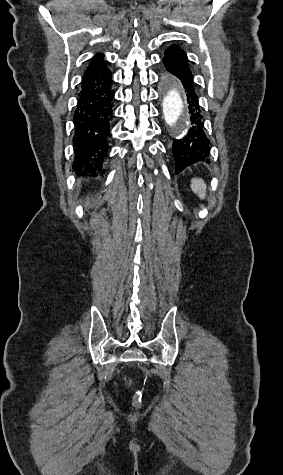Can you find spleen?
<instances>
[{
  "label": "spleen",
  "instance_id": "spleen-1",
  "mask_svg": "<svg viewBox=\"0 0 283 475\" xmlns=\"http://www.w3.org/2000/svg\"><path fill=\"white\" fill-rule=\"evenodd\" d=\"M190 188L194 194H197L200 200H205L207 186L204 180H201V178H192Z\"/></svg>",
  "mask_w": 283,
  "mask_h": 475
}]
</instances>
